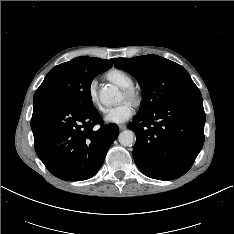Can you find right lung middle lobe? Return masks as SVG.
<instances>
[{
  "label": "right lung middle lobe",
  "mask_w": 234,
  "mask_h": 234,
  "mask_svg": "<svg viewBox=\"0 0 234 234\" xmlns=\"http://www.w3.org/2000/svg\"><path fill=\"white\" fill-rule=\"evenodd\" d=\"M103 70L86 69L77 58L57 65L49 71L34 94L33 102L38 100H59L76 107H93L90 85Z\"/></svg>",
  "instance_id": "right-lung-middle-lobe-1"
}]
</instances>
